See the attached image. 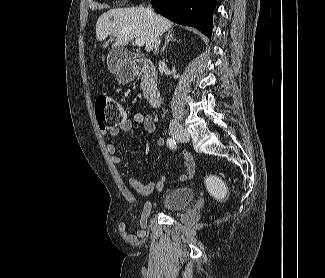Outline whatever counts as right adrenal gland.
<instances>
[{
  "instance_id": "right-adrenal-gland-1",
  "label": "right adrenal gland",
  "mask_w": 325,
  "mask_h": 278,
  "mask_svg": "<svg viewBox=\"0 0 325 278\" xmlns=\"http://www.w3.org/2000/svg\"><path fill=\"white\" fill-rule=\"evenodd\" d=\"M175 41L174 35H173V29L168 30L166 36H165V44L161 49V52L163 53L166 50V47L169 42Z\"/></svg>"
}]
</instances>
